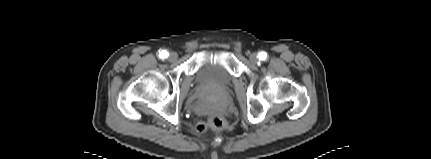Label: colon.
Wrapping results in <instances>:
<instances>
[{
	"label": "colon",
	"instance_id": "5ec220e1",
	"mask_svg": "<svg viewBox=\"0 0 431 159\" xmlns=\"http://www.w3.org/2000/svg\"><path fill=\"white\" fill-rule=\"evenodd\" d=\"M225 125H226L225 121L221 116L217 114H212L209 116L207 122H203V121L196 122L195 130L198 133H204L208 128H211L216 131H220L225 128Z\"/></svg>",
	"mask_w": 431,
	"mask_h": 159
}]
</instances>
